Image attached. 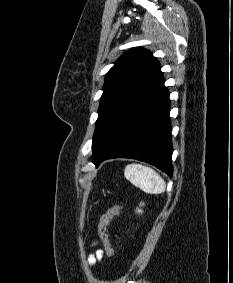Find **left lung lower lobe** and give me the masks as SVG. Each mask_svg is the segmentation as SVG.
<instances>
[{
    "mask_svg": "<svg viewBox=\"0 0 233 283\" xmlns=\"http://www.w3.org/2000/svg\"><path fill=\"white\" fill-rule=\"evenodd\" d=\"M164 82L159 69L94 153L96 166L110 158H133L152 164L172 177L170 99Z\"/></svg>",
    "mask_w": 233,
    "mask_h": 283,
    "instance_id": "left-lung-lower-lobe-1",
    "label": "left lung lower lobe"
}]
</instances>
